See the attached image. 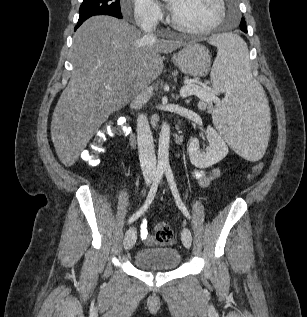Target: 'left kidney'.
Instances as JSON below:
<instances>
[{"label":"left kidney","instance_id":"left-kidney-1","mask_svg":"<svg viewBox=\"0 0 307 317\" xmlns=\"http://www.w3.org/2000/svg\"><path fill=\"white\" fill-rule=\"evenodd\" d=\"M209 141L206 152L199 149V141L196 138L190 140L189 157L191 163L198 168H208L221 161L228 153V147L223 138L211 126L205 132Z\"/></svg>","mask_w":307,"mask_h":317}]
</instances>
